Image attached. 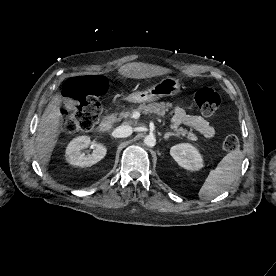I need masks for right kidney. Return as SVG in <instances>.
<instances>
[{
	"label": "right kidney",
	"instance_id": "right-kidney-1",
	"mask_svg": "<svg viewBox=\"0 0 276 276\" xmlns=\"http://www.w3.org/2000/svg\"><path fill=\"white\" fill-rule=\"evenodd\" d=\"M89 145V136H79L74 138L66 148V161L74 166L88 167L96 164L105 157L107 148L100 143L93 144L95 149L92 154L85 155L82 153L81 151Z\"/></svg>",
	"mask_w": 276,
	"mask_h": 276
}]
</instances>
